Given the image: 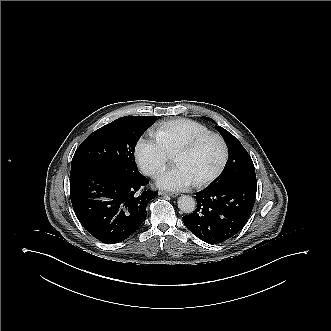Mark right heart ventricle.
I'll list each match as a JSON object with an SVG mask.
<instances>
[{"label": "right heart ventricle", "mask_w": 331, "mask_h": 331, "mask_svg": "<svg viewBox=\"0 0 331 331\" xmlns=\"http://www.w3.org/2000/svg\"><path fill=\"white\" fill-rule=\"evenodd\" d=\"M208 132V129L192 119L177 118L162 124L157 132V142L166 152L175 153L184 144Z\"/></svg>", "instance_id": "1"}]
</instances>
